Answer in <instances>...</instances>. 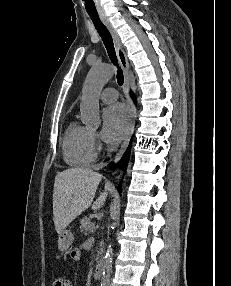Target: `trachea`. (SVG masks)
<instances>
[{"mask_svg":"<svg viewBox=\"0 0 231 286\" xmlns=\"http://www.w3.org/2000/svg\"><path fill=\"white\" fill-rule=\"evenodd\" d=\"M89 16H90L97 32L99 33L100 37L102 38V41L105 45V48L107 50V53L109 55L111 62L117 67V82L121 86L124 82V76H123V71L121 70V68L118 65V60L116 57L115 48H114V44H113L111 34L108 31V29L105 27V25L102 23V21L100 20L98 14H90L89 13Z\"/></svg>","mask_w":231,"mask_h":286,"instance_id":"trachea-1","label":"trachea"}]
</instances>
